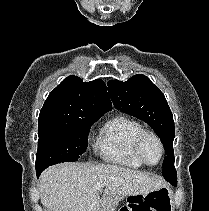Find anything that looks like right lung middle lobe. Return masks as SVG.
<instances>
[{
    "label": "right lung middle lobe",
    "instance_id": "dd1d6c3e",
    "mask_svg": "<svg viewBox=\"0 0 209 211\" xmlns=\"http://www.w3.org/2000/svg\"><path fill=\"white\" fill-rule=\"evenodd\" d=\"M99 118L39 121L36 169L76 161L86 151L90 127Z\"/></svg>",
    "mask_w": 209,
    "mask_h": 211
}]
</instances>
